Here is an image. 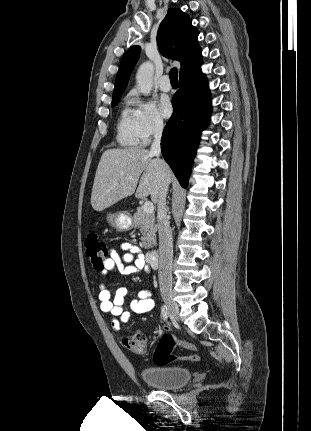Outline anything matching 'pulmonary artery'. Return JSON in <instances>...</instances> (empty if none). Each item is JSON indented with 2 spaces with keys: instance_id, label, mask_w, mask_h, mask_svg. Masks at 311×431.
<instances>
[{
  "instance_id": "pulmonary-artery-1",
  "label": "pulmonary artery",
  "mask_w": 311,
  "mask_h": 431,
  "mask_svg": "<svg viewBox=\"0 0 311 431\" xmlns=\"http://www.w3.org/2000/svg\"><path fill=\"white\" fill-rule=\"evenodd\" d=\"M159 87L163 92H170L172 89V85L170 79L167 75H163L159 79Z\"/></svg>"
}]
</instances>
